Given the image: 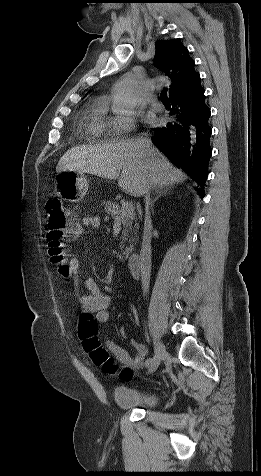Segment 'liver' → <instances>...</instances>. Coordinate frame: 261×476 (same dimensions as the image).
<instances>
[{"label": "liver", "mask_w": 261, "mask_h": 476, "mask_svg": "<svg viewBox=\"0 0 261 476\" xmlns=\"http://www.w3.org/2000/svg\"><path fill=\"white\" fill-rule=\"evenodd\" d=\"M137 140L71 148L59 160L56 171H78L118 179V186L135 197L143 195L145 178L149 177L155 188L171 187L187 179V175L152 144L147 153H142Z\"/></svg>", "instance_id": "liver-1"}]
</instances>
